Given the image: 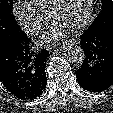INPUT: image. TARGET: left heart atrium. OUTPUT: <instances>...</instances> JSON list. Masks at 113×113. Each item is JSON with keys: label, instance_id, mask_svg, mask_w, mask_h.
Returning a JSON list of instances; mask_svg holds the SVG:
<instances>
[{"label": "left heart atrium", "instance_id": "left-heart-atrium-1", "mask_svg": "<svg viewBox=\"0 0 113 113\" xmlns=\"http://www.w3.org/2000/svg\"><path fill=\"white\" fill-rule=\"evenodd\" d=\"M70 28L61 25L60 23L54 22L50 29L46 32L44 39L47 42L56 41L59 38L66 35Z\"/></svg>", "mask_w": 113, "mask_h": 113}]
</instances>
